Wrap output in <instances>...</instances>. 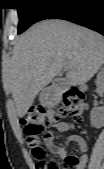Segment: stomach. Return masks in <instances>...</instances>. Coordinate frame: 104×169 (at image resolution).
Returning a JSON list of instances; mask_svg holds the SVG:
<instances>
[{"mask_svg":"<svg viewBox=\"0 0 104 169\" xmlns=\"http://www.w3.org/2000/svg\"><path fill=\"white\" fill-rule=\"evenodd\" d=\"M41 100L44 102V104H50L52 102V98H44L41 96Z\"/></svg>","mask_w":104,"mask_h":169,"instance_id":"stomach-1","label":"stomach"}]
</instances>
